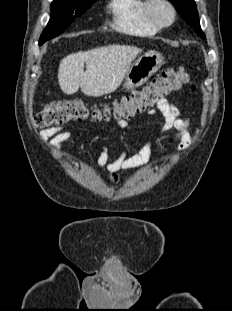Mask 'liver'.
<instances>
[{
    "instance_id": "liver-1",
    "label": "liver",
    "mask_w": 232,
    "mask_h": 311,
    "mask_svg": "<svg viewBox=\"0 0 232 311\" xmlns=\"http://www.w3.org/2000/svg\"><path fill=\"white\" fill-rule=\"evenodd\" d=\"M141 51L133 46L109 45L67 55L59 64L60 88L67 95L76 93L79 88L90 97L112 93Z\"/></svg>"
}]
</instances>
